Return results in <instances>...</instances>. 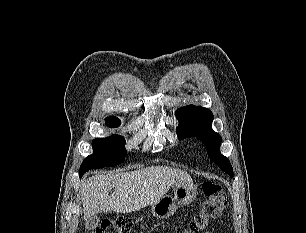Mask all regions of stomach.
<instances>
[{
    "label": "stomach",
    "instance_id": "stomach-1",
    "mask_svg": "<svg viewBox=\"0 0 306 233\" xmlns=\"http://www.w3.org/2000/svg\"><path fill=\"white\" fill-rule=\"evenodd\" d=\"M197 194V186L191 181L184 180L175 184L174 196L165 195L152 205V214L156 218L165 219L172 216L178 206L190 204Z\"/></svg>",
    "mask_w": 306,
    "mask_h": 233
}]
</instances>
